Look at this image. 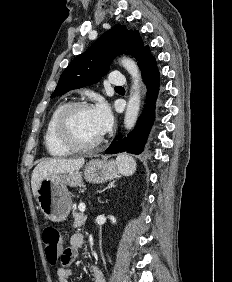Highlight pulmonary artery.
Returning <instances> with one entry per match:
<instances>
[{"instance_id": "1", "label": "pulmonary artery", "mask_w": 232, "mask_h": 282, "mask_svg": "<svg viewBox=\"0 0 232 282\" xmlns=\"http://www.w3.org/2000/svg\"><path fill=\"white\" fill-rule=\"evenodd\" d=\"M110 84L114 86H121L124 85L126 80L125 77L119 72H113L109 78Z\"/></svg>"}]
</instances>
